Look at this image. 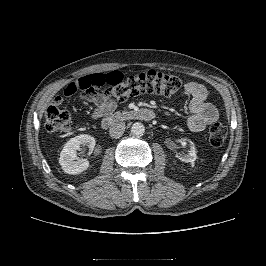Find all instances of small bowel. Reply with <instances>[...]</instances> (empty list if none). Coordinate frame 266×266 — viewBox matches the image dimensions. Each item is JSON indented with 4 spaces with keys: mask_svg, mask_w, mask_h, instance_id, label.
<instances>
[{
    "mask_svg": "<svg viewBox=\"0 0 266 266\" xmlns=\"http://www.w3.org/2000/svg\"><path fill=\"white\" fill-rule=\"evenodd\" d=\"M181 97L190 98L191 115L187 119V127L190 131L201 132L218 120L219 112L213 104L206 101L207 90L203 85L196 82L186 83L181 91ZM83 100L94 105L92 116L95 120L110 115L117 106L112 99L95 91L85 93ZM62 102L63 98L60 96L54 100L57 104Z\"/></svg>",
    "mask_w": 266,
    "mask_h": 266,
    "instance_id": "small-bowel-1",
    "label": "small bowel"
}]
</instances>
